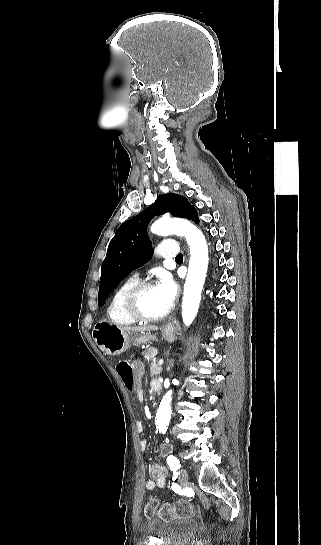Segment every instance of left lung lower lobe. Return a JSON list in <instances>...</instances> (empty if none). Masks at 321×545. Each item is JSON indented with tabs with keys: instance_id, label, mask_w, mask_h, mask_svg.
I'll list each match as a JSON object with an SVG mask.
<instances>
[{
	"instance_id": "1",
	"label": "left lung lower lobe",
	"mask_w": 321,
	"mask_h": 545,
	"mask_svg": "<svg viewBox=\"0 0 321 545\" xmlns=\"http://www.w3.org/2000/svg\"><path fill=\"white\" fill-rule=\"evenodd\" d=\"M191 220H193V221L196 222V223H199V218H198L197 212L193 215V217L191 218Z\"/></svg>"
}]
</instances>
